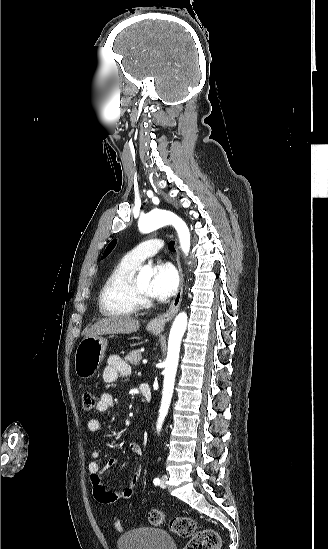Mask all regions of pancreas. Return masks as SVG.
I'll use <instances>...</instances> for the list:
<instances>
[{
	"label": "pancreas",
	"instance_id": "1",
	"mask_svg": "<svg viewBox=\"0 0 328 549\" xmlns=\"http://www.w3.org/2000/svg\"><path fill=\"white\" fill-rule=\"evenodd\" d=\"M124 359L125 361H128V363H131V365H140L142 355L140 351H131V353H129V355H126Z\"/></svg>",
	"mask_w": 328,
	"mask_h": 549
}]
</instances>
